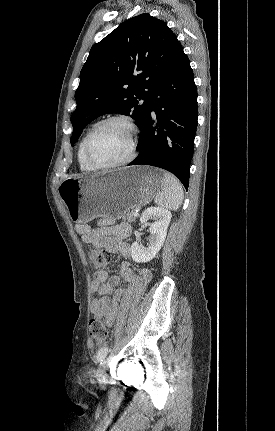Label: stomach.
<instances>
[{
  "mask_svg": "<svg viewBox=\"0 0 275 431\" xmlns=\"http://www.w3.org/2000/svg\"><path fill=\"white\" fill-rule=\"evenodd\" d=\"M163 188L162 171L135 166L82 178H67L59 186L70 219L85 224L103 216L119 219L132 208L149 203Z\"/></svg>",
  "mask_w": 275,
  "mask_h": 431,
  "instance_id": "1",
  "label": "stomach"
}]
</instances>
